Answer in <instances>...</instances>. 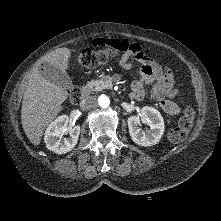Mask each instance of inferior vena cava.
Here are the masks:
<instances>
[{
  "label": "inferior vena cava",
  "mask_w": 221,
  "mask_h": 221,
  "mask_svg": "<svg viewBox=\"0 0 221 221\" xmlns=\"http://www.w3.org/2000/svg\"><path fill=\"white\" fill-rule=\"evenodd\" d=\"M97 104V99L94 96H87L81 101V107L84 109H90Z\"/></svg>",
  "instance_id": "obj_1"
}]
</instances>
